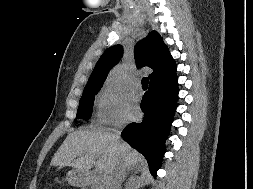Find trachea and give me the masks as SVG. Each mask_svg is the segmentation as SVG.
<instances>
[{
    "label": "trachea",
    "mask_w": 253,
    "mask_h": 189,
    "mask_svg": "<svg viewBox=\"0 0 253 189\" xmlns=\"http://www.w3.org/2000/svg\"><path fill=\"white\" fill-rule=\"evenodd\" d=\"M148 83H149V78L148 77H144L142 79V87L143 88H147L148 87Z\"/></svg>",
    "instance_id": "3493384b"
}]
</instances>
